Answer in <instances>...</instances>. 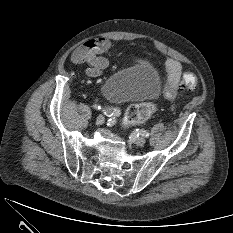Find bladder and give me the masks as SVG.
Instances as JSON below:
<instances>
[{
    "label": "bladder",
    "instance_id": "31cf9c89",
    "mask_svg": "<svg viewBox=\"0 0 233 233\" xmlns=\"http://www.w3.org/2000/svg\"><path fill=\"white\" fill-rule=\"evenodd\" d=\"M158 71L149 63L139 61L113 73L102 85V94L111 102L148 100L160 91Z\"/></svg>",
    "mask_w": 233,
    "mask_h": 233
}]
</instances>
